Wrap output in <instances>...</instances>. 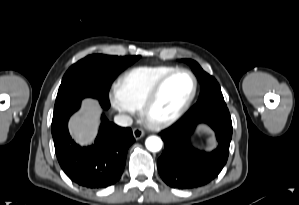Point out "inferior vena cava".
I'll list each match as a JSON object with an SVG mask.
<instances>
[{
    "label": "inferior vena cava",
    "mask_w": 299,
    "mask_h": 205,
    "mask_svg": "<svg viewBox=\"0 0 299 205\" xmlns=\"http://www.w3.org/2000/svg\"><path fill=\"white\" fill-rule=\"evenodd\" d=\"M114 122L119 126L127 127L132 125L133 120L128 115H117L114 118Z\"/></svg>",
    "instance_id": "1"
}]
</instances>
